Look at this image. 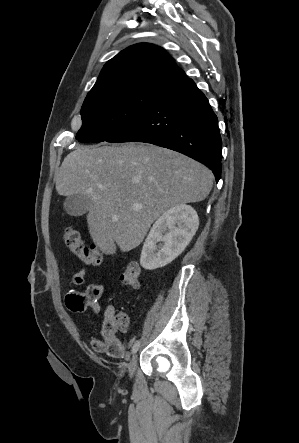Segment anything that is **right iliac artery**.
I'll return each instance as SVG.
<instances>
[{
  "label": "right iliac artery",
  "mask_w": 299,
  "mask_h": 443,
  "mask_svg": "<svg viewBox=\"0 0 299 443\" xmlns=\"http://www.w3.org/2000/svg\"><path fill=\"white\" fill-rule=\"evenodd\" d=\"M139 346H140V341H136L135 344L132 347V350H131L133 354L138 351Z\"/></svg>",
  "instance_id": "82829eb1"
}]
</instances>
